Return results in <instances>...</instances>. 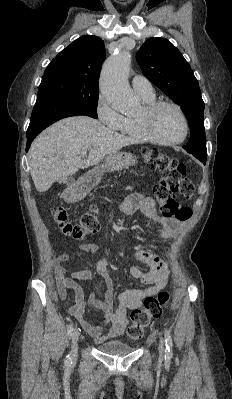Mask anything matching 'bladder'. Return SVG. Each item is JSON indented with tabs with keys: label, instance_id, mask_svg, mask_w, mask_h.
I'll list each match as a JSON object with an SVG mask.
<instances>
[{
	"label": "bladder",
	"instance_id": "1",
	"mask_svg": "<svg viewBox=\"0 0 232 399\" xmlns=\"http://www.w3.org/2000/svg\"><path fill=\"white\" fill-rule=\"evenodd\" d=\"M97 350L106 355L123 356L132 353L134 348L122 341L114 340L98 345Z\"/></svg>",
	"mask_w": 232,
	"mask_h": 399
}]
</instances>
